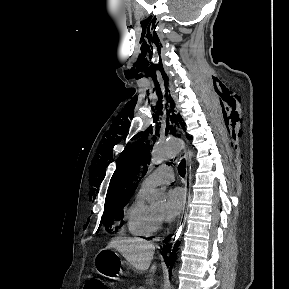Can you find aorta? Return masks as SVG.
I'll return each mask as SVG.
<instances>
[{
  "label": "aorta",
  "instance_id": "1",
  "mask_svg": "<svg viewBox=\"0 0 289 289\" xmlns=\"http://www.w3.org/2000/svg\"><path fill=\"white\" fill-rule=\"evenodd\" d=\"M184 148V141L177 137H169L165 140L158 141L153 146L151 163L153 165H161L177 157ZM164 199L165 193L160 189L151 191L148 198L151 204L163 202Z\"/></svg>",
  "mask_w": 289,
  "mask_h": 289
}]
</instances>
